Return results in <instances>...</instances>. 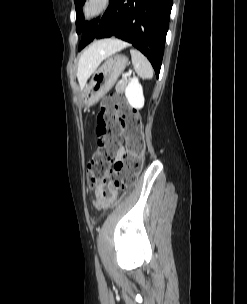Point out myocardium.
I'll return each instance as SVG.
<instances>
[{
  "mask_svg": "<svg viewBox=\"0 0 247 304\" xmlns=\"http://www.w3.org/2000/svg\"><path fill=\"white\" fill-rule=\"evenodd\" d=\"M111 4V0H85L82 6L83 20L91 22L102 16Z\"/></svg>",
  "mask_w": 247,
  "mask_h": 304,
  "instance_id": "f54148a6",
  "label": "myocardium"
}]
</instances>
